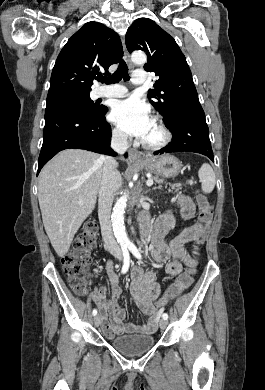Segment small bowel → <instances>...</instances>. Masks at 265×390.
<instances>
[{"mask_svg":"<svg viewBox=\"0 0 265 390\" xmlns=\"http://www.w3.org/2000/svg\"><path fill=\"white\" fill-rule=\"evenodd\" d=\"M177 202L181 208L182 216L190 219L195 213L192 199L185 195H178ZM174 225V216L171 212L161 215L152 230L153 247L150 260L153 263H166V272L177 276L181 273L183 265L195 267L197 259L186 253L184 246L190 242H201L204 238L205 224L198 222L184 228L175 237L168 240V234ZM111 288L107 296L106 286L99 288L92 299L98 306L103 318V330L108 337L124 333L148 334L156 330L159 320V309L155 301L161 295V287L156 281V273L144 271L135 267L131 273L130 295L135 307L146 317L140 323H124L126 311L118 305L121 289L118 276L114 272L112 261L106 264Z\"/></svg>","mask_w":265,"mask_h":390,"instance_id":"obj_1","label":"small bowel"}]
</instances>
